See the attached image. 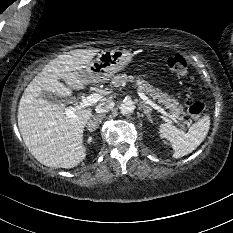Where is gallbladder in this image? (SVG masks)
Masks as SVG:
<instances>
[{
  "label": "gallbladder",
  "instance_id": "1",
  "mask_svg": "<svg viewBox=\"0 0 233 233\" xmlns=\"http://www.w3.org/2000/svg\"><path fill=\"white\" fill-rule=\"evenodd\" d=\"M41 97L48 100V101H51L53 103H62L65 101L64 98H61L60 96L54 95V94L49 93V92H42Z\"/></svg>",
  "mask_w": 233,
  "mask_h": 233
}]
</instances>
